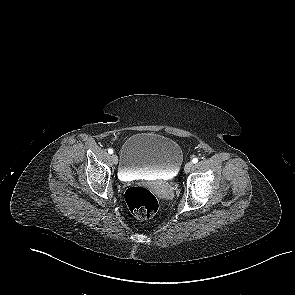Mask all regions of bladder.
Instances as JSON below:
<instances>
[{
  "instance_id": "31cf9c89",
  "label": "bladder",
  "mask_w": 295,
  "mask_h": 295,
  "mask_svg": "<svg viewBox=\"0 0 295 295\" xmlns=\"http://www.w3.org/2000/svg\"><path fill=\"white\" fill-rule=\"evenodd\" d=\"M183 163L179 144L152 132L137 133L129 137L120 152V175H163L173 178Z\"/></svg>"
}]
</instances>
